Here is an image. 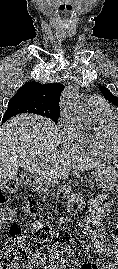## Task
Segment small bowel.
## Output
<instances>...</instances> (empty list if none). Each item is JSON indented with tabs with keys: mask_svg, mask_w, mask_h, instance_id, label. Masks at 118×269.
<instances>
[{
	"mask_svg": "<svg viewBox=\"0 0 118 269\" xmlns=\"http://www.w3.org/2000/svg\"><path fill=\"white\" fill-rule=\"evenodd\" d=\"M118 191V190H117ZM92 216L85 224L87 231V239L84 241L88 246L101 251L108 256H118V241H113L112 246H108L105 232L107 209L102 204H94L91 208ZM54 261L53 257L49 258V262ZM64 264L63 260L45 267V269H60V265ZM69 269H78V267H72ZM103 269H117L116 264L112 262V268L105 267Z\"/></svg>",
	"mask_w": 118,
	"mask_h": 269,
	"instance_id": "obj_1",
	"label": "small bowel"
}]
</instances>
